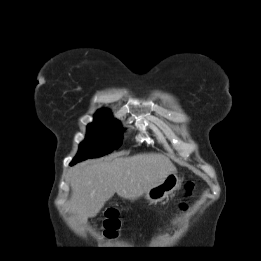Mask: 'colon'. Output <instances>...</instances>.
Returning a JSON list of instances; mask_svg holds the SVG:
<instances>
[{
	"label": "colon",
	"mask_w": 261,
	"mask_h": 261,
	"mask_svg": "<svg viewBox=\"0 0 261 261\" xmlns=\"http://www.w3.org/2000/svg\"><path fill=\"white\" fill-rule=\"evenodd\" d=\"M192 188L193 184L191 182L186 183L185 190L188 194L192 191ZM182 206L184 207L185 205L182 204ZM102 226L104 233L108 237H115L117 235V231L120 227V221L118 218V211L115 208H109L106 210Z\"/></svg>",
	"instance_id": "obj_1"
}]
</instances>
